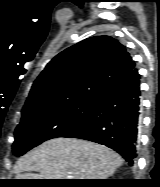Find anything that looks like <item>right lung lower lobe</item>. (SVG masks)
<instances>
[{
    "label": "right lung lower lobe",
    "mask_w": 160,
    "mask_h": 187,
    "mask_svg": "<svg viewBox=\"0 0 160 187\" xmlns=\"http://www.w3.org/2000/svg\"><path fill=\"white\" fill-rule=\"evenodd\" d=\"M140 110V76L135 67L99 98L86 121L62 137L106 145L133 166L137 157Z\"/></svg>",
    "instance_id": "98d812e1"
}]
</instances>
